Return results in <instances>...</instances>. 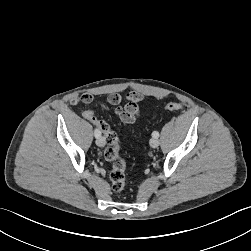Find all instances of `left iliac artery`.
<instances>
[{"label":"left iliac artery","mask_w":251,"mask_h":251,"mask_svg":"<svg viewBox=\"0 0 251 251\" xmlns=\"http://www.w3.org/2000/svg\"><path fill=\"white\" fill-rule=\"evenodd\" d=\"M152 136L155 137V138H158L159 137V133L157 131H154L152 133Z\"/></svg>","instance_id":"44dca946"}]
</instances>
